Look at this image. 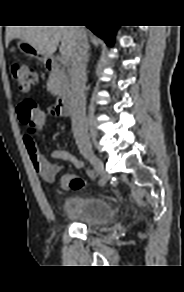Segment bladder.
I'll use <instances>...</instances> for the list:
<instances>
[{
  "instance_id": "bladder-1",
  "label": "bladder",
  "mask_w": 184,
  "mask_h": 292,
  "mask_svg": "<svg viewBox=\"0 0 184 292\" xmlns=\"http://www.w3.org/2000/svg\"><path fill=\"white\" fill-rule=\"evenodd\" d=\"M64 217L90 228H99L110 223L115 215L108 199L99 196H73L62 206Z\"/></svg>"
}]
</instances>
